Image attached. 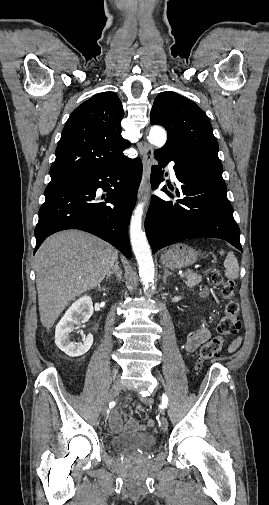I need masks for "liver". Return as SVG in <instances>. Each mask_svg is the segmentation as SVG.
I'll return each mask as SVG.
<instances>
[{"mask_svg":"<svg viewBox=\"0 0 269 505\" xmlns=\"http://www.w3.org/2000/svg\"><path fill=\"white\" fill-rule=\"evenodd\" d=\"M117 259L113 246L83 231L48 237L35 255L42 325L49 329L72 300L100 285Z\"/></svg>","mask_w":269,"mask_h":505,"instance_id":"1","label":"liver"}]
</instances>
